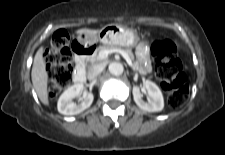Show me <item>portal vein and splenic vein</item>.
<instances>
[{"label":"portal vein and splenic vein","mask_w":225,"mask_h":155,"mask_svg":"<svg viewBox=\"0 0 225 155\" xmlns=\"http://www.w3.org/2000/svg\"><path fill=\"white\" fill-rule=\"evenodd\" d=\"M111 53H119V54L126 60V62L128 63V65H129V66H132V60H131V58L129 57V55H128L125 51H123V50H121V49L103 50V51H101V52L99 53V57H100L101 59H105V58H107L108 55L111 54Z\"/></svg>","instance_id":"18ae733b"}]
</instances>
